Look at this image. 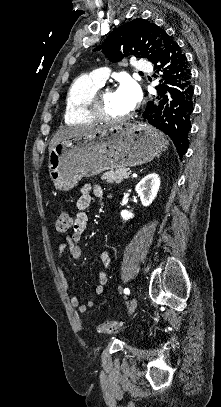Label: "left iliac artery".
<instances>
[{
    "instance_id": "44dca946",
    "label": "left iliac artery",
    "mask_w": 221,
    "mask_h": 407,
    "mask_svg": "<svg viewBox=\"0 0 221 407\" xmlns=\"http://www.w3.org/2000/svg\"><path fill=\"white\" fill-rule=\"evenodd\" d=\"M124 293L129 295V294H130V290H129L128 288H125V289H124Z\"/></svg>"
}]
</instances>
